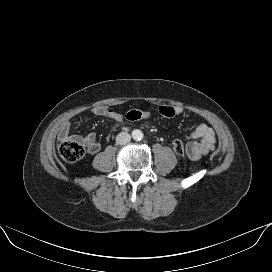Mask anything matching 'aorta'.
I'll return each mask as SVG.
<instances>
[{
  "label": "aorta",
  "mask_w": 272,
  "mask_h": 272,
  "mask_svg": "<svg viewBox=\"0 0 272 272\" xmlns=\"http://www.w3.org/2000/svg\"><path fill=\"white\" fill-rule=\"evenodd\" d=\"M132 137L135 140H140L143 137V133L141 132V130L135 129L132 131Z\"/></svg>",
  "instance_id": "762f6f07"
}]
</instances>
